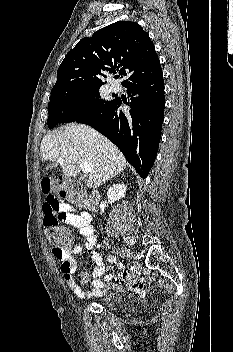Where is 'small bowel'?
<instances>
[{"mask_svg":"<svg viewBox=\"0 0 233 352\" xmlns=\"http://www.w3.org/2000/svg\"><path fill=\"white\" fill-rule=\"evenodd\" d=\"M41 190L44 196V201L42 203L44 224H68L75 227L81 235L80 241L68 250H62L55 247L51 249L53 256L61 262L60 270L68 288L74 296L81 300H88L94 296H101L105 292L107 285L113 281V276L105 275L104 279H100L106 271V265L101 255L94 249L96 244V234L95 229L91 224L90 216L87 213H76L75 206L58 199V195L63 197L60 182L45 180L42 182ZM84 248L89 251V256L95 263V268L92 272L94 280L90 291L82 290L74 280V273L76 271L74 255Z\"/></svg>","mask_w":233,"mask_h":352,"instance_id":"obj_1","label":"small bowel"}]
</instances>
